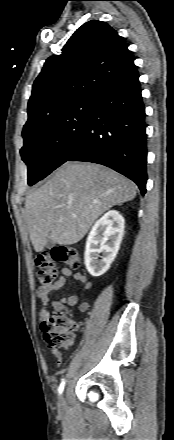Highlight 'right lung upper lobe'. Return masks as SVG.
<instances>
[{
	"mask_svg": "<svg viewBox=\"0 0 174 440\" xmlns=\"http://www.w3.org/2000/svg\"><path fill=\"white\" fill-rule=\"evenodd\" d=\"M134 62L127 45L106 22L91 20L79 27L60 55L49 57L33 84L24 129L91 96L105 81Z\"/></svg>",
	"mask_w": 174,
	"mask_h": 440,
	"instance_id": "right-lung-upper-lobe-1",
	"label": "right lung upper lobe"
}]
</instances>
